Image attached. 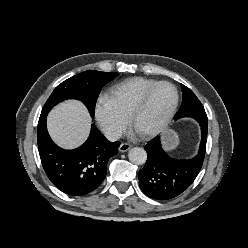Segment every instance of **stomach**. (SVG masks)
Masks as SVG:
<instances>
[{"mask_svg":"<svg viewBox=\"0 0 248 248\" xmlns=\"http://www.w3.org/2000/svg\"><path fill=\"white\" fill-rule=\"evenodd\" d=\"M163 144L167 151L175 149L179 144V138L176 132L168 130L164 133Z\"/></svg>","mask_w":248,"mask_h":248,"instance_id":"obj_1","label":"stomach"}]
</instances>
